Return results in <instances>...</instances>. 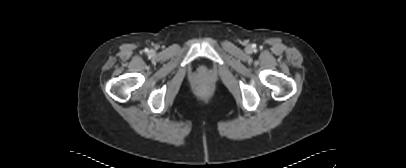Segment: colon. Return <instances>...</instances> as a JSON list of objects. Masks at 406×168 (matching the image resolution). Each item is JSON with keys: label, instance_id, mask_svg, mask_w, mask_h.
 Here are the masks:
<instances>
[{"label": "colon", "instance_id": "1", "mask_svg": "<svg viewBox=\"0 0 406 168\" xmlns=\"http://www.w3.org/2000/svg\"><path fill=\"white\" fill-rule=\"evenodd\" d=\"M202 92H207V89L205 87H201Z\"/></svg>", "mask_w": 406, "mask_h": 168}]
</instances>
